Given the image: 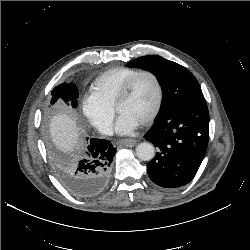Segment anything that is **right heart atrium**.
I'll use <instances>...</instances> for the list:
<instances>
[{"label": "right heart atrium", "instance_id": "d8ad5b80", "mask_svg": "<svg viewBox=\"0 0 250 250\" xmlns=\"http://www.w3.org/2000/svg\"><path fill=\"white\" fill-rule=\"evenodd\" d=\"M82 115L84 119L102 134H108L112 127L113 110L99 103L88 95L82 102Z\"/></svg>", "mask_w": 250, "mask_h": 250}]
</instances>
